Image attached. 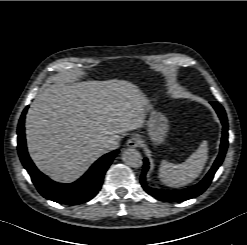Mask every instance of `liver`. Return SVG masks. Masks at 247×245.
Returning a JSON list of instances; mask_svg holds the SVG:
<instances>
[{"instance_id":"1","label":"liver","mask_w":247,"mask_h":245,"mask_svg":"<svg viewBox=\"0 0 247 245\" xmlns=\"http://www.w3.org/2000/svg\"><path fill=\"white\" fill-rule=\"evenodd\" d=\"M146 102L125 80L73 82L65 78L42 89L28 109V152L40 171L57 182L81 177L108 138L140 128Z\"/></svg>"}]
</instances>
